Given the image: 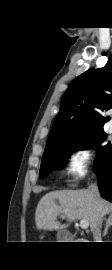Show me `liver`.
I'll use <instances>...</instances> for the list:
<instances>
[{
	"label": "liver",
	"instance_id": "liver-1",
	"mask_svg": "<svg viewBox=\"0 0 112 270\" xmlns=\"http://www.w3.org/2000/svg\"><path fill=\"white\" fill-rule=\"evenodd\" d=\"M112 213V203L95 196L89 189L52 191L38 202L35 211V224L38 230H61L69 224H61L57 217L68 223L77 219L89 222L93 232L101 217Z\"/></svg>",
	"mask_w": 112,
	"mask_h": 270
}]
</instances>
